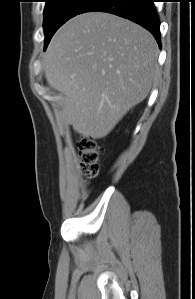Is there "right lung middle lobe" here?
<instances>
[{
  "mask_svg": "<svg viewBox=\"0 0 195 299\" xmlns=\"http://www.w3.org/2000/svg\"><path fill=\"white\" fill-rule=\"evenodd\" d=\"M44 32L45 47L55 31L68 19L79 14L89 0H45Z\"/></svg>",
  "mask_w": 195,
  "mask_h": 299,
  "instance_id": "dd1d6c3e",
  "label": "right lung middle lobe"
}]
</instances>
